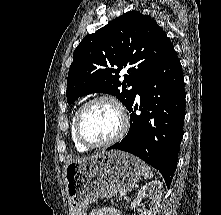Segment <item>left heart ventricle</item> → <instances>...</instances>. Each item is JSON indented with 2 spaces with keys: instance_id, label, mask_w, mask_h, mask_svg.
I'll return each mask as SVG.
<instances>
[{
  "instance_id": "1",
  "label": "left heart ventricle",
  "mask_w": 221,
  "mask_h": 215,
  "mask_svg": "<svg viewBox=\"0 0 221 215\" xmlns=\"http://www.w3.org/2000/svg\"><path fill=\"white\" fill-rule=\"evenodd\" d=\"M121 118L116 107L108 101L92 104L84 113L81 129L90 141L102 142L119 130Z\"/></svg>"
}]
</instances>
